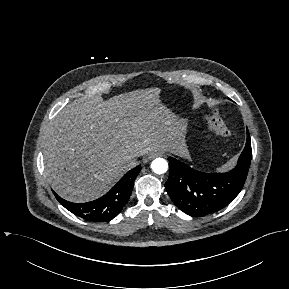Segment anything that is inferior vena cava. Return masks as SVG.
<instances>
[{"instance_id": "inferior-vena-cava-1", "label": "inferior vena cava", "mask_w": 289, "mask_h": 289, "mask_svg": "<svg viewBox=\"0 0 289 289\" xmlns=\"http://www.w3.org/2000/svg\"><path fill=\"white\" fill-rule=\"evenodd\" d=\"M125 159H126V162L129 164L130 167H134L138 164V162L135 160L134 156H127Z\"/></svg>"}]
</instances>
